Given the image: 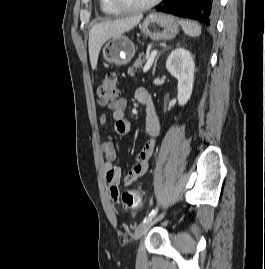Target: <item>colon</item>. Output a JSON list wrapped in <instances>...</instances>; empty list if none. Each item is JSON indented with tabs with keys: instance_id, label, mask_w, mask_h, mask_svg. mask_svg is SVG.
<instances>
[{
	"instance_id": "1",
	"label": "colon",
	"mask_w": 265,
	"mask_h": 269,
	"mask_svg": "<svg viewBox=\"0 0 265 269\" xmlns=\"http://www.w3.org/2000/svg\"><path fill=\"white\" fill-rule=\"evenodd\" d=\"M98 101L102 106H108L118 99L117 79L114 74L107 75L97 89ZM117 200L122 206L134 208L140 205L142 194L138 190H126L117 193Z\"/></svg>"
}]
</instances>
